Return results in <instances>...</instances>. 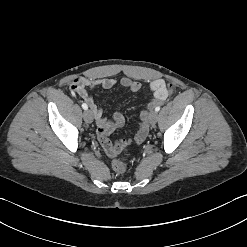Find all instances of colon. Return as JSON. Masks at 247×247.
Listing matches in <instances>:
<instances>
[{"instance_id":"1","label":"colon","mask_w":247,"mask_h":247,"mask_svg":"<svg viewBox=\"0 0 247 247\" xmlns=\"http://www.w3.org/2000/svg\"><path fill=\"white\" fill-rule=\"evenodd\" d=\"M101 137H104V132L100 133ZM117 154L119 152L125 151L124 144L119 145L116 149ZM113 170L117 173H124L127 170V163L123 158H115L112 162Z\"/></svg>"}]
</instances>
